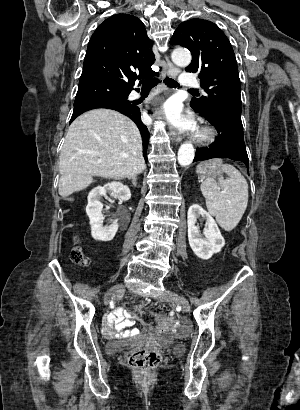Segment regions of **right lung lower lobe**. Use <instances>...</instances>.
<instances>
[{
    "mask_svg": "<svg viewBox=\"0 0 300 410\" xmlns=\"http://www.w3.org/2000/svg\"><path fill=\"white\" fill-rule=\"evenodd\" d=\"M95 108H109V109L116 110L128 116L130 119H132L135 122L142 136L143 147H144L143 155H144L145 160L147 161L146 154H147V146H148V140H149V131L147 127L143 124V122L141 121V114H140L139 108L135 105H132L131 103L121 104V103H114V102H110L106 100L93 101V102H89L86 104L75 106L70 122H72L80 114L88 110L95 109Z\"/></svg>",
    "mask_w": 300,
    "mask_h": 410,
    "instance_id": "1",
    "label": "right lung lower lobe"
}]
</instances>
